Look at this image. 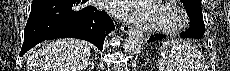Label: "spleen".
<instances>
[{
  "label": "spleen",
  "mask_w": 230,
  "mask_h": 71,
  "mask_svg": "<svg viewBox=\"0 0 230 71\" xmlns=\"http://www.w3.org/2000/svg\"><path fill=\"white\" fill-rule=\"evenodd\" d=\"M162 58L157 61L158 71H205L202 53L191 42L167 40L160 47ZM169 53V55H168Z\"/></svg>",
  "instance_id": "3e777b00"
}]
</instances>
